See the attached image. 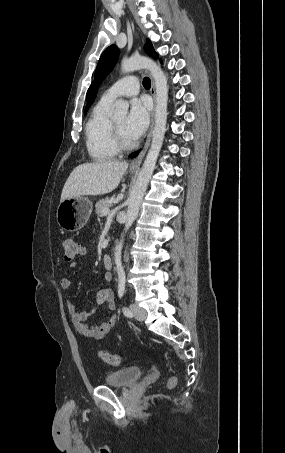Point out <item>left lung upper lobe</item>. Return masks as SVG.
Wrapping results in <instances>:
<instances>
[{"instance_id": "5c2ea615", "label": "left lung upper lobe", "mask_w": 285, "mask_h": 453, "mask_svg": "<svg viewBox=\"0 0 285 453\" xmlns=\"http://www.w3.org/2000/svg\"><path fill=\"white\" fill-rule=\"evenodd\" d=\"M144 50L145 52L157 59L158 55L155 52L152 43L150 40H147V43L144 45ZM118 55H119V49L115 45H111L105 49V51L102 53L99 62L97 64V68L95 71V77H94V90L92 93V96L90 100L88 101L86 105L85 112L88 110L92 102L94 101L97 93V89L99 87V84L102 82V80L108 75V73L112 70V68L115 66L117 60H118Z\"/></svg>"}]
</instances>
